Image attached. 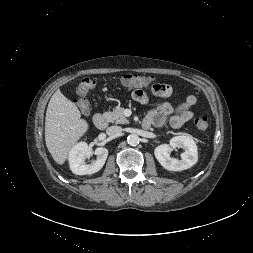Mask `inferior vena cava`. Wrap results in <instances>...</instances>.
I'll return each mask as SVG.
<instances>
[{
	"label": "inferior vena cava",
	"instance_id": "inferior-vena-cava-1",
	"mask_svg": "<svg viewBox=\"0 0 253 253\" xmlns=\"http://www.w3.org/2000/svg\"><path fill=\"white\" fill-rule=\"evenodd\" d=\"M122 130L120 126H110L107 128L106 133L109 136H118L122 133Z\"/></svg>",
	"mask_w": 253,
	"mask_h": 253
}]
</instances>
